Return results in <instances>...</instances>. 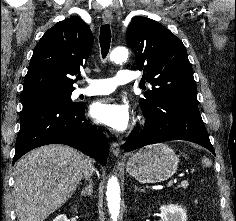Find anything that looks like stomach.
<instances>
[{
  "instance_id": "0dacf381",
  "label": "stomach",
  "mask_w": 236,
  "mask_h": 221,
  "mask_svg": "<svg viewBox=\"0 0 236 221\" xmlns=\"http://www.w3.org/2000/svg\"><path fill=\"white\" fill-rule=\"evenodd\" d=\"M179 160L166 144L156 143L130 156L126 171L141 183H160L176 172Z\"/></svg>"
}]
</instances>
